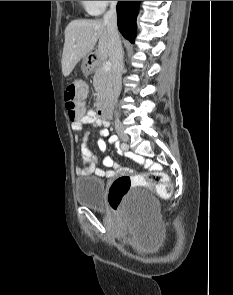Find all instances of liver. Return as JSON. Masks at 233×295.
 I'll use <instances>...</instances> for the list:
<instances>
[{
  "mask_svg": "<svg viewBox=\"0 0 233 295\" xmlns=\"http://www.w3.org/2000/svg\"><path fill=\"white\" fill-rule=\"evenodd\" d=\"M98 42L97 58L105 60L109 56V34L103 20H73L65 29L62 54V73L69 76L77 63L94 49Z\"/></svg>",
  "mask_w": 233,
  "mask_h": 295,
  "instance_id": "6515ba94",
  "label": "liver"
}]
</instances>
